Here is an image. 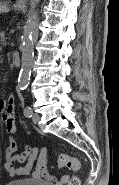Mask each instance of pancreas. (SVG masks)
<instances>
[{
	"mask_svg": "<svg viewBox=\"0 0 119 185\" xmlns=\"http://www.w3.org/2000/svg\"><path fill=\"white\" fill-rule=\"evenodd\" d=\"M0 42L2 43V45H6V37L5 34L2 32L0 33Z\"/></svg>",
	"mask_w": 119,
	"mask_h": 185,
	"instance_id": "obj_1",
	"label": "pancreas"
}]
</instances>
